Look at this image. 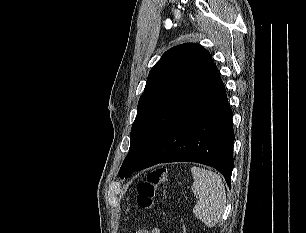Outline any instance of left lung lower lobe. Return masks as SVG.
<instances>
[{"mask_svg": "<svg viewBox=\"0 0 306 233\" xmlns=\"http://www.w3.org/2000/svg\"><path fill=\"white\" fill-rule=\"evenodd\" d=\"M233 142L232 111L219 77L169 130L138 170L158 163L197 162L217 169L230 186Z\"/></svg>", "mask_w": 306, "mask_h": 233, "instance_id": "obj_1", "label": "left lung lower lobe"}]
</instances>
